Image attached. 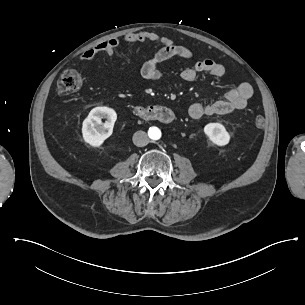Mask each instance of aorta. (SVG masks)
Wrapping results in <instances>:
<instances>
[{
  "label": "aorta",
  "instance_id": "762f6f07",
  "mask_svg": "<svg viewBox=\"0 0 305 305\" xmlns=\"http://www.w3.org/2000/svg\"><path fill=\"white\" fill-rule=\"evenodd\" d=\"M159 137H160V135L158 134L156 138L158 139Z\"/></svg>",
  "mask_w": 305,
  "mask_h": 305
}]
</instances>
